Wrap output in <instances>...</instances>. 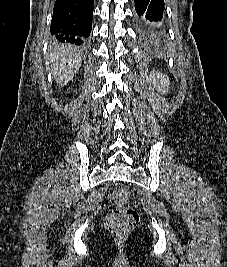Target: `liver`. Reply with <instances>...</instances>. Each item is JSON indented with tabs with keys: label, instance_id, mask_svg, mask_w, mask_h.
I'll use <instances>...</instances> for the list:
<instances>
[{
	"label": "liver",
	"instance_id": "1",
	"mask_svg": "<svg viewBox=\"0 0 227 267\" xmlns=\"http://www.w3.org/2000/svg\"><path fill=\"white\" fill-rule=\"evenodd\" d=\"M51 71L60 86L73 79L81 66L80 50L74 46L56 45L50 49Z\"/></svg>",
	"mask_w": 227,
	"mask_h": 267
}]
</instances>
